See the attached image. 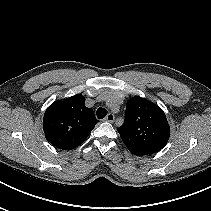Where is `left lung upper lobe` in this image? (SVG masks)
<instances>
[{
	"instance_id": "1",
	"label": "left lung upper lobe",
	"mask_w": 211,
	"mask_h": 211,
	"mask_svg": "<svg viewBox=\"0 0 211 211\" xmlns=\"http://www.w3.org/2000/svg\"><path fill=\"white\" fill-rule=\"evenodd\" d=\"M120 137L135 155H150L160 151L168 142L170 127L158 105L139 96L127 101Z\"/></svg>"
}]
</instances>
